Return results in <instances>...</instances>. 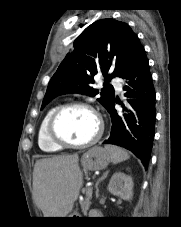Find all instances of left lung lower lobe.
I'll return each mask as SVG.
<instances>
[{"mask_svg":"<svg viewBox=\"0 0 181 227\" xmlns=\"http://www.w3.org/2000/svg\"><path fill=\"white\" fill-rule=\"evenodd\" d=\"M119 77L126 83V104L121 103L123 113L116 112L115 100L107 108L112 119V129L110 137L103 143L119 145L132 151L147 169L155 134L156 94L149 62L141 43L137 44Z\"/></svg>","mask_w":181,"mask_h":227,"instance_id":"left-lung-lower-lobe-1","label":"left lung lower lobe"}]
</instances>
